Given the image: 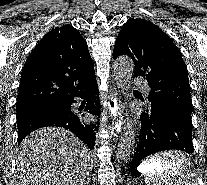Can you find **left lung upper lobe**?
I'll return each mask as SVG.
<instances>
[{
	"instance_id": "5c2ea615",
	"label": "left lung upper lobe",
	"mask_w": 207,
	"mask_h": 185,
	"mask_svg": "<svg viewBox=\"0 0 207 185\" xmlns=\"http://www.w3.org/2000/svg\"><path fill=\"white\" fill-rule=\"evenodd\" d=\"M129 55L135 76H144L151 88L147 104L167 106L191 121L189 79L181 52L155 24L131 18L116 39L113 57Z\"/></svg>"
}]
</instances>
